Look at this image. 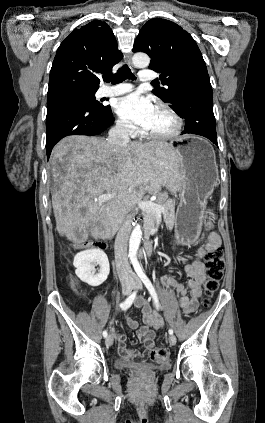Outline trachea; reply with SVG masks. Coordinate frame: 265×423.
Segmentation results:
<instances>
[{
  "mask_svg": "<svg viewBox=\"0 0 265 423\" xmlns=\"http://www.w3.org/2000/svg\"><path fill=\"white\" fill-rule=\"evenodd\" d=\"M126 79L135 80L136 78L129 69V67L125 64L121 68H119L118 72L115 75L110 76L108 78V82H112V84H118ZM152 84H157V82L153 81Z\"/></svg>",
  "mask_w": 265,
  "mask_h": 423,
  "instance_id": "3493384b",
  "label": "trachea"
}]
</instances>
